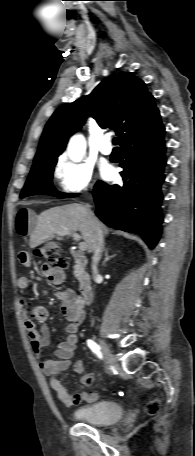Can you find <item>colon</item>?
Wrapping results in <instances>:
<instances>
[{
  "instance_id": "obj_1",
  "label": "colon",
  "mask_w": 195,
  "mask_h": 456,
  "mask_svg": "<svg viewBox=\"0 0 195 456\" xmlns=\"http://www.w3.org/2000/svg\"><path fill=\"white\" fill-rule=\"evenodd\" d=\"M36 255L46 261V264L52 267H64L66 261L62 255L59 246L50 242L43 247L36 250ZM160 402L158 400H152L146 405V412L149 415H154L159 411Z\"/></svg>"
}]
</instances>
